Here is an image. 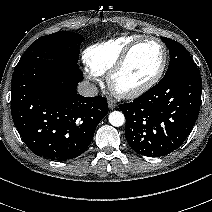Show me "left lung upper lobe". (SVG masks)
I'll use <instances>...</instances> for the list:
<instances>
[{
    "label": "left lung upper lobe",
    "instance_id": "5c2ea615",
    "mask_svg": "<svg viewBox=\"0 0 212 212\" xmlns=\"http://www.w3.org/2000/svg\"><path fill=\"white\" fill-rule=\"evenodd\" d=\"M161 39L169 49L170 63L165 76L160 82L166 81L187 70L197 68L184 46L166 37H161Z\"/></svg>",
    "mask_w": 212,
    "mask_h": 212
}]
</instances>
